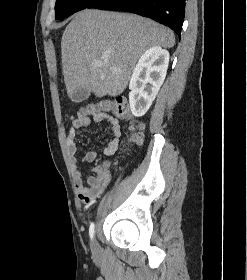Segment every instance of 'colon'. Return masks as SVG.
<instances>
[{
	"mask_svg": "<svg viewBox=\"0 0 247 280\" xmlns=\"http://www.w3.org/2000/svg\"><path fill=\"white\" fill-rule=\"evenodd\" d=\"M101 112H112L117 118L120 119H130V113L128 109V104L124 99H116L114 101L103 100L98 103H91L85 107L80 108L78 111V117L82 118L85 115H96ZM139 126H136L138 128ZM136 142L141 140L140 133H136L133 136ZM108 170V165L106 163L98 165L94 168L97 176L103 177Z\"/></svg>",
	"mask_w": 247,
	"mask_h": 280,
	"instance_id": "obj_1",
	"label": "colon"
}]
</instances>
